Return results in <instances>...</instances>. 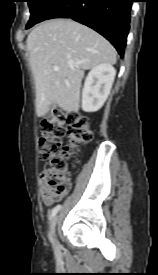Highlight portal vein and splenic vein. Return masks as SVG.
<instances>
[{
    "mask_svg": "<svg viewBox=\"0 0 158 275\" xmlns=\"http://www.w3.org/2000/svg\"><path fill=\"white\" fill-rule=\"evenodd\" d=\"M53 70H54V71H58V70H59V66H57V65L54 66V67H53Z\"/></svg>",
    "mask_w": 158,
    "mask_h": 275,
    "instance_id": "portal-vein-and-splenic-vein-1",
    "label": "portal vein and splenic vein"
}]
</instances>
